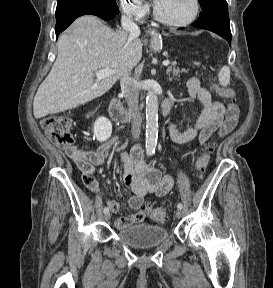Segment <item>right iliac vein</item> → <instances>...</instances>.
<instances>
[{
  "mask_svg": "<svg viewBox=\"0 0 273 288\" xmlns=\"http://www.w3.org/2000/svg\"><path fill=\"white\" fill-rule=\"evenodd\" d=\"M110 218H111V214H110L109 212H107V213L104 214V220H105V221H109Z\"/></svg>",
  "mask_w": 273,
  "mask_h": 288,
  "instance_id": "obj_1",
  "label": "right iliac vein"
}]
</instances>
